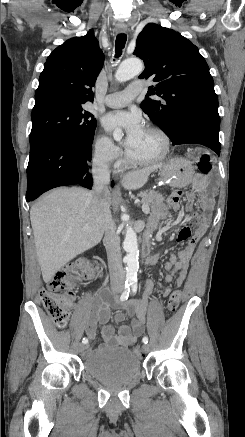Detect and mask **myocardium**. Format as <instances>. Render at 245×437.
I'll use <instances>...</instances> for the list:
<instances>
[{
    "mask_svg": "<svg viewBox=\"0 0 245 437\" xmlns=\"http://www.w3.org/2000/svg\"><path fill=\"white\" fill-rule=\"evenodd\" d=\"M145 130L156 133L162 140V150L160 151L159 154H157L154 157L151 158H146V159H139V158H134L132 157L129 152L127 153V160L132 163V164H136V165H150V164H156V163H160L163 160H165L171 150V139L169 137V135L166 133L165 130H163L162 128L158 127V126H154V125H149L145 128Z\"/></svg>",
    "mask_w": 245,
    "mask_h": 437,
    "instance_id": "myocardium-1",
    "label": "myocardium"
}]
</instances>
